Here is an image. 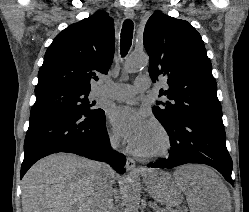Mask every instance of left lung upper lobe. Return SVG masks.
I'll list each match as a JSON object with an SVG mask.
<instances>
[{
    "mask_svg": "<svg viewBox=\"0 0 249 212\" xmlns=\"http://www.w3.org/2000/svg\"><path fill=\"white\" fill-rule=\"evenodd\" d=\"M144 46L150 77L154 82L165 78L169 86L159 91L164 100L153 107L159 121L169 123L189 114L222 116L210 59L191 24L157 11L145 25Z\"/></svg>",
    "mask_w": 249,
    "mask_h": 212,
    "instance_id": "obj_1",
    "label": "left lung upper lobe"
}]
</instances>
